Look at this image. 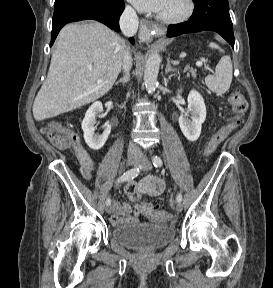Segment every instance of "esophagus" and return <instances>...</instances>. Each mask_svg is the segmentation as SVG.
<instances>
[{
    "instance_id": "34e87169",
    "label": "esophagus",
    "mask_w": 273,
    "mask_h": 288,
    "mask_svg": "<svg viewBox=\"0 0 273 288\" xmlns=\"http://www.w3.org/2000/svg\"><path fill=\"white\" fill-rule=\"evenodd\" d=\"M165 29L157 24H154L146 19L140 20L139 36L143 40H149L154 34L162 35Z\"/></svg>"
}]
</instances>
